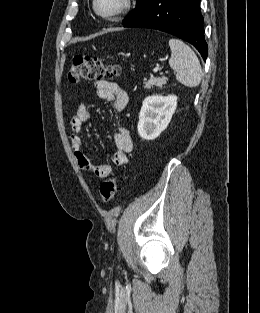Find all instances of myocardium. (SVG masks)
Returning <instances> with one entry per match:
<instances>
[{
	"mask_svg": "<svg viewBox=\"0 0 260 313\" xmlns=\"http://www.w3.org/2000/svg\"><path fill=\"white\" fill-rule=\"evenodd\" d=\"M132 1L133 0H121V3L119 5V7H117L115 10L111 11V12H101L98 9L97 3L98 0H93L92 1V8L93 11L95 12V14L103 19H114L124 13H126L132 6Z\"/></svg>",
	"mask_w": 260,
	"mask_h": 313,
	"instance_id": "f54148a6",
	"label": "myocardium"
}]
</instances>
